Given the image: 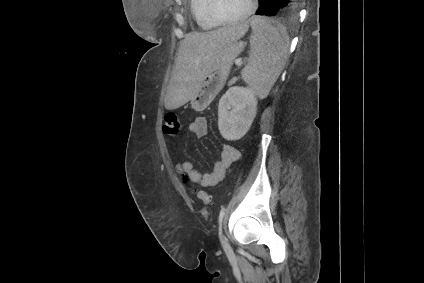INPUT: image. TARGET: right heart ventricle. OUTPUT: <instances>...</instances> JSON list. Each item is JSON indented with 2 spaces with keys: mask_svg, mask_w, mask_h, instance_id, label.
<instances>
[{
  "mask_svg": "<svg viewBox=\"0 0 424 283\" xmlns=\"http://www.w3.org/2000/svg\"><path fill=\"white\" fill-rule=\"evenodd\" d=\"M206 5L207 0H190L191 14L198 27L203 30H212L218 25L209 19Z\"/></svg>",
  "mask_w": 424,
  "mask_h": 283,
  "instance_id": "obj_1",
  "label": "right heart ventricle"
}]
</instances>
